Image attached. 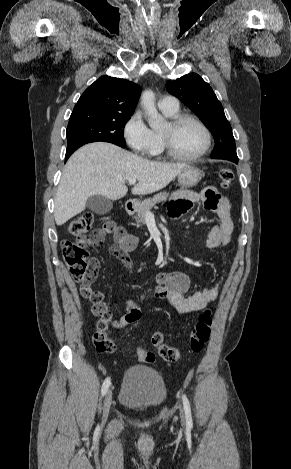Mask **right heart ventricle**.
<instances>
[{"label":"right heart ventricle","mask_w":291,"mask_h":469,"mask_svg":"<svg viewBox=\"0 0 291 469\" xmlns=\"http://www.w3.org/2000/svg\"><path fill=\"white\" fill-rule=\"evenodd\" d=\"M161 111L167 116V117H174L175 115L178 114V110L176 111H169V110H163L161 109ZM153 135H154V144H153V147L151 149V151L149 152V155L155 159H159L162 157L163 153H164V150H163V146H162V140H161V133L158 132V131H153Z\"/></svg>","instance_id":"e07e8e85"}]
</instances>
